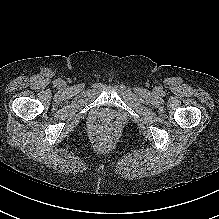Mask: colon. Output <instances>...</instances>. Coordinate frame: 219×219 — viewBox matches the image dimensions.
Segmentation results:
<instances>
[{"instance_id":"colon-1","label":"colon","mask_w":219,"mask_h":219,"mask_svg":"<svg viewBox=\"0 0 219 219\" xmlns=\"http://www.w3.org/2000/svg\"><path fill=\"white\" fill-rule=\"evenodd\" d=\"M104 144H105L104 141H100V142H99V145H100V146H102V145H104Z\"/></svg>"}]
</instances>
